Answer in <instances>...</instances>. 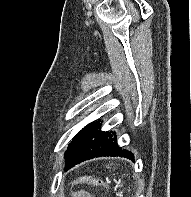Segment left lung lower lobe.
<instances>
[{"instance_id":"obj_1","label":"left lung lower lobe","mask_w":191,"mask_h":197,"mask_svg":"<svg viewBox=\"0 0 191 197\" xmlns=\"http://www.w3.org/2000/svg\"><path fill=\"white\" fill-rule=\"evenodd\" d=\"M102 123L92 122L84 127L72 140V153L66 158L67 171L76 164L94 157L119 156L134 160V156L128 150H122L117 144L114 132L100 131Z\"/></svg>"}]
</instances>
